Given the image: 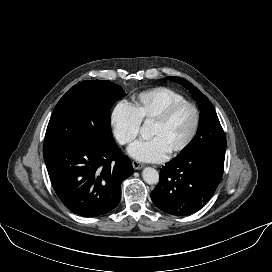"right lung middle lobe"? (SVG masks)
I'll list each match as a JSON object with an SVG mask.
<instances>
[{"label": "right lung middle lobe", "mask_w": 272, "mask_h": 272, "mask_svg": "<svg viewBox=\"0 0 272 272\" xmlns=\"http://www.w3.org/2000/svg\"><path fill=\"white\" fill-rule=\"evenodd\" d=\"M125 95L107 80L82 81L73 86L55 106L47 126L44 151L70 141H92L98 145L113 141L110 109Z\"/></svg>", "instance_id": "right-lung-middle-lobe-1"}]
</instances>
